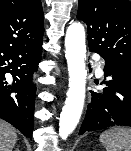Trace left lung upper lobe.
Segmentation results:
<instances>
[{
	"instance_id": "5c2ea615",
	"label": "left lung upper lobe",
	"mask_w": 131,
	"mask_h": 151,
	"mask_svg": "<svg viewBox=\"0 0 131 151\" xmlns=\"http://www.w3.org/2000/svg\"><path fill=\"white\" fill-rule=\"evenodd\" d=\"M77 18L87 24L89 50L111 66L131 73V3L79 0Z\"/></svg>"
}]
</instances>
